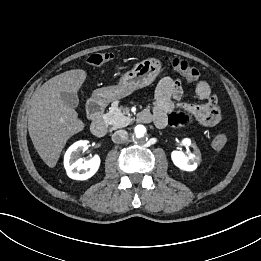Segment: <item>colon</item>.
<instances>
[{"label":"colon","mask_w":261,"mask_h":261,"mask_svg":"<svg viewBox=\"0 0 261 261\" xmlns=\"http://www.w3.org/2000/svg\"><path fill=\"white\" fill-rule=\"evenodd\" d=\"M113 59V54L108 52L92 53L86 61L91 66H100ZM165 60L172 66L174 70L179 72L187 79L197 81L200 78V72L197 68L191 66L186 60L179 58L166 57ZM227 136L225 134L216 135L211 142V146L215 150H222L227 144Z\"/></svg>","instance_id":"obj_1"}]
</instances>
